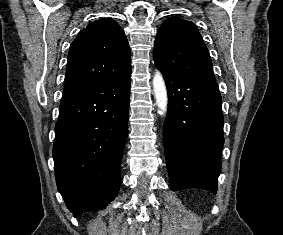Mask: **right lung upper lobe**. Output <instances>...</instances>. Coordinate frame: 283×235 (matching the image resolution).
Listing matches in <instances>:
<instances>
[{
  "label": "right lung upper lobe",
  "instance_id": "1",
  "mask_svg": "<svg viewBox=\"0 0 283 235\" xmlns=\"http://www.w3.org/2000/svg\"><path fill=\"white\" fill-rule=\"evenodd\" d=\"M130 72V49L122 28L109 18L96 20L81 30L70 46L63 95Z\"/></svg>",
  "mask_w": 283,
  "mask_h": 235
}]
</instances>
